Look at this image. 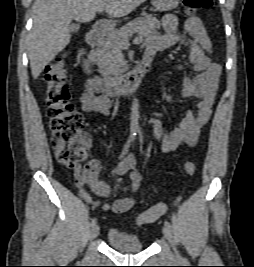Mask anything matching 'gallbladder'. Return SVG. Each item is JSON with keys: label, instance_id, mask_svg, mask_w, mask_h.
<instances>
[{"label": "gallbladder", "instance_id": "1", "mask_svg": "<svg viewBox=\"0 0 254 267\" xmlns=\"http://www.w3.org/2000/svg\"><path fill=\"white\" fill-rule=\"evenodd\" d=\"M79 28H80V25L77 24V23H73V24H71V25L69 26V30H70L71 32H76V31L79 30Z\"/></svg>", "mask_w": 254, "mask_h": 267}]
</instances>
